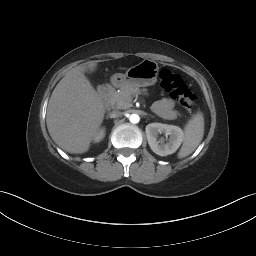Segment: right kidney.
<instances>
[{
    "instance_id": "1",
    "label": "right kidney",
    "mask_w": 256,
    "mask_h": 256,
    "mask_svg": "<svg viewBox=\"0 0 256 256\" xmlns=\"http://www.w3.org/2000/svg\"><path fill=\"white\" fill-rule=\"evenodd\" d=\"M105 136V129L99 130V132L96 133L94 140L95 142L101 141Z\"/></svg>"
}]
</instances>
